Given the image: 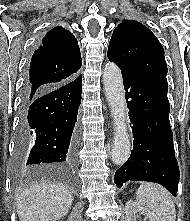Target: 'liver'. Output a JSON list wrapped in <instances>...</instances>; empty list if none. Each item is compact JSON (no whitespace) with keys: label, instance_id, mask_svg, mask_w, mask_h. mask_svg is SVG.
<instances>
[{"label":"liver","instance_id":"liver-1","mask_svg":"<svg viewBox=\"0 0 190 221\" xmlns=\"http://www.w3.org/2000/svg\"><path fill=\"white\" fill-rule=\"evenodd\" d=\"M72 201L64 185L30 184L17 195V214L21 221H55L68 213Z\"/></svg>","mask_w":190,"mask_h":221}]
</instances>
